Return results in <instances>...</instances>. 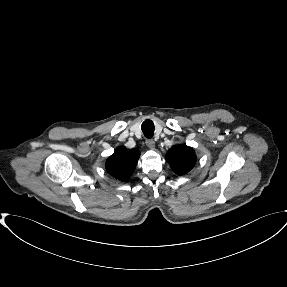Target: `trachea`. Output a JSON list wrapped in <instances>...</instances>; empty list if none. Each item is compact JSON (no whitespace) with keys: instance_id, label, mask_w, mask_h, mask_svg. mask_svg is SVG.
Here are the masks:
<instances>
[{"instance_id":"trachea-1","label":"trachea","mask_w":287,"mask_h":287,"mask_svg":"<svg viewBox=\"0 0 287 287\" xmlns=\"http://www.w3.org/2000/svg\"><path fill=\"white\" fill-rule=\"evenodd\" d=\"M142 132L146 138H152L154 135V123L147 119L142 123L141 126Z\"/></svg>"}]
</instances>
